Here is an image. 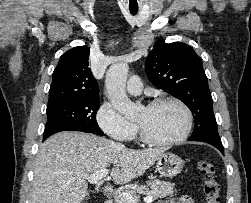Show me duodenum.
Wrapping results in <instances>:
<instances>
[{"mask_svg": "<svg viewBox=\"0 0 251 203\" xmlns=\"http://www.w3.org/2000/svg\"><path fill=\"white\" fill-rule=\"evenodd\" d=\"M104 203H113L112 200H105Z\"/></svg>", "mask_w": 251, "mask_h": 203, "instance_id": "1", "label": "duodenum"}]
</instances>
